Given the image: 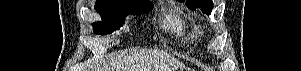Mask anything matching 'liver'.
I'll use <instances>...</instances> for the list:
<instances>
[{"instance_id":"6515ba94","label":"liver","mask_w":301,"mask_h":71,"mask_svg":"<svg viewBox=\"0 0 301 71\" xmlns=\"http://www.w3.org/2000/svg\"><path fill=\"white\" fill-rule=\"evenodd\" d=\"M184 64L173 56L157 50H140L112 58L92 71H177Z\"/></svg>"}]
</instances>
